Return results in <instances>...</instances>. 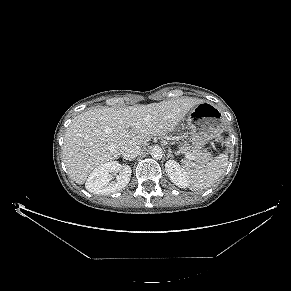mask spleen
Returning <instances> with one entry per match:
<instances>
[{
    "label": "spleen",
    "instance_id": "spleen-1",
    "mask_svg": "<svg viewBox=\"0 0 291 291\" xmlns=\"http://www.w3.org/2000/svg\"><path fill=\"white\" fill-rule=\"evenodd\" d=\"M228 163L226 154L218 155L206 166L187 160L182 161V167L188 176L189 188L192 191H202L209 188L222 176Z\"/></svg>",
    "mask_w": 291,
    "mask_h": 291
}]
</instances>
